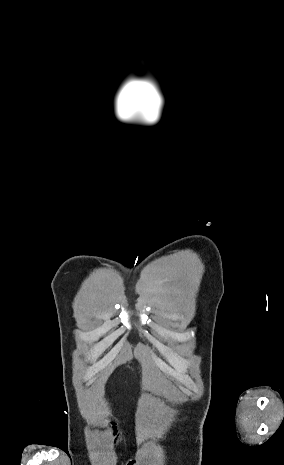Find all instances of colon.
<instances>
[{"label":"colon","mask_w":284,"mask_h":465,"mask_svg":"<svg viewBox=\"0 0 284 465\" xmlns=\"http://www.w3.org/2000/svg\"><path fill=\"white\" fill-rule=\"evenodd\" d=\"M112 429L114 430V433H119V431L114 426H112Z\"/></svg>","instance_id":"5ec220e1"}]
</instances>
